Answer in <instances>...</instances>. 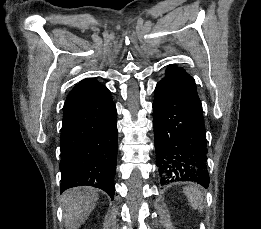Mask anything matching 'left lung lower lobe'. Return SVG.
I'll use <instances>...</instances> for the list:
<instances>
[{"mask_svg":"<svg viewBox=\"0 0 261 229\" xmlns=\"http://www.w3.org/2000/svg\"><path fill=\"white\" fill-rule=\"evenodd\" d=\"M156 165L162 179L209 185L203 110L194 79L169 65L153 102Z\"/></svg>","mask_w":261,"mask_h":229,"instance_id":"left-lung-lower-lobe-1","label":"left lung lower lobe"}]
</instances>
